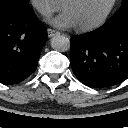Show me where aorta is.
I'll list each match as a JSON object with an SVG mask.
<instances>
[{
    "mask_svg": "<svg viewBox=\"0 0 128 128\" xmlns=\"http://www.w3.org/2000/svg\"><path fill=\"white\" fill-rule=\"evenodd\" d=\"M50 45L58 52H66L70 49V40L64 35H55L51 38Z\"/></svg>",
    "mask_w": 128,
    "mask_h": 128,
    "instance_id": "1",
    "label": "aorta"
}]
</instances>
